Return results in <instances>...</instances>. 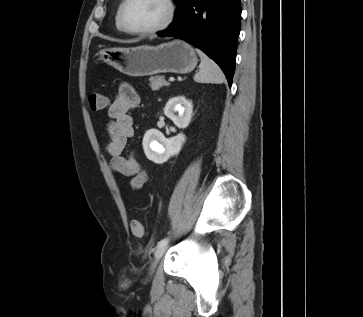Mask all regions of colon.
<instances>
[{
  "label": "colon",
  "instance_id": "1",
  "mask_svg": "<svg viewBox=\"0 0 363 317\" xmlns=\"http://www.w3.org/2000/svg\"><path fill=\"white\" fill-rule=\"evenodd\" d=\"M88 102L90 109L94 112L105 109L108 104L107 97L99 92L91 93L88 97ZM131 231L136 236H142L144 234V228L137 220L131 222Z\"/></svg>",
  "mask_w": 363,
  "mask_h": 317
}]
</instances>
